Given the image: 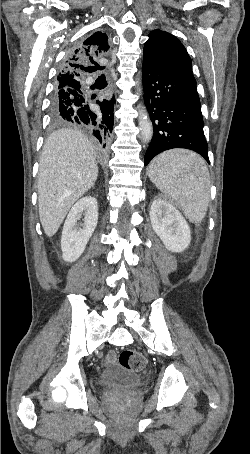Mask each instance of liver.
I'll list each match as a JSON object with an SVG mask.
<instances>
[{
    "label": "liver",
    "instance_id": "liver-1",
    "mask_svg": "<svg viewBox=\"0 0 250 454\" xmlns=\"http://www.w3.org/2000/svg\"><path fill=\"white\" fill-rule=\"evenodd\" d=\"M97 177L96 151L84 134L63 128L48 136L37 181L39 217L48 237L57 232L70 208Z\"/></svg>",
    "mask_w": 250,
    "mask_h": 454
}]
</instances>
